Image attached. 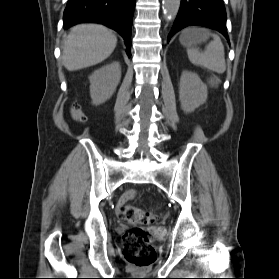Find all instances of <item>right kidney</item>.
I'll return each instance as SVG.
<instances>
[{
  "mask_svg": "<svg viewBox=\"0 0 279 279\" xmlns=\"http://www.w3.org/2000/svg\"><path fill=\"white\" fill-rule=\"evenodd\" d=\"M121 79V67L118 61L104 65L89 77L90 96L94 105L106 102L114 94Z\"/></svg>",
  "mask_w": 279,
  "mask_h": 279,
  "instance_id": "right-kidney-1",
  "label": "right kidney"
}]
</instances>
